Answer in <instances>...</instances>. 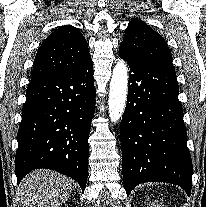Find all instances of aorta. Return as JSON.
Segmentation results:
<instances>
[{
    "label": "aorta",
    "instance_id": "aorta-1",
    "mask_svg": "<svg viewBox=\"0 0 206 207\" xmlns=\"http://www.w3.org/2000/svg\"><path fill=\"white\" fill-rule=\"evenodd\" d=\"M128 87V71L124 61L120 60L113 68L110 81L108 110L109 118L116 123L124 113Z\"/></svg>",
    "mask_w": 206,
    "mask_h": 207
}]
</instances>
